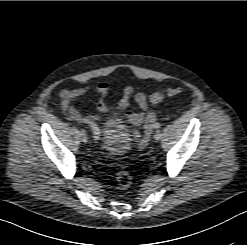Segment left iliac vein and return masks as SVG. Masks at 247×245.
I'll return each instance as SVG.
<instances>
[{"label": "left iliac vein", "instance_id": "obj_1", "mask_svg": "<svg viewBox=\"0 0 247 245\" xmlns=\"http://www.w3.org/2000/svg\"><path fill=\"white\" fill-rule=\"evenodd\" d=\"M154 139L156 141H159L161 139V132L159 130L156 131V133L154 134Z\"/></svg>", "mask_w": 247, "mask_h": 245}]
</instances>
